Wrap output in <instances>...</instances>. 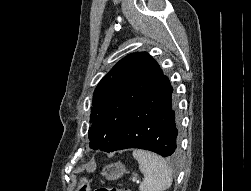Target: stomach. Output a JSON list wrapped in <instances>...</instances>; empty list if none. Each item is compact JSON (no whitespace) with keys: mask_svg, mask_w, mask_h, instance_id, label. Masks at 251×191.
Masks as SVG:
<instances>
[{"mask_svg":"<svg viewBox=\"0 0 251 191\" xmlns=\"http://www.w3.org/2000/svg\"><path fill=\"white\" fill-rule=\"evenodd\" d=\"M101 173L106 179H119L123 173H126V167L121 161H116V163L104 165ZM77 189L78 191H90V181L86 177H81Z\"/></svg>","mask_w":251,"mask_h":191,"instance_id":"obj_1","label":"stomach"}]
</instances>
